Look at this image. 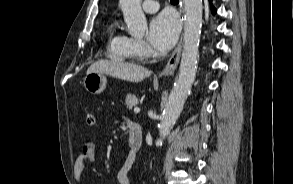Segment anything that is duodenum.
<instances>
[{"label":"duodenum","instance_id":"duodenum-1","mask_svg":"<svg viewBox=\"0 0 293 184\" xmlns=\"http://www.w3.org/2000/svg\"><path fill=\"white\" fill-rule=\"evenodd\" d=\"M129 147L132 155H136L143 143V131L139 124L131 122L129 124Z\"/></svg>","mask_w":293,"mask_h":184}]
</instances>
